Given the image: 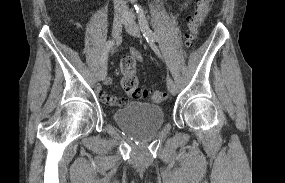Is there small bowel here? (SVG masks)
<instances>
[{
  "instance_id": "1",
  "label": "small bowel",
  "mask_w": 285,
  "mask_h": 183,
  "mask_svg": "<svg viewBox=\"0 0 285 183\" xmlns=\"http://www.w3.org/2000/svg\"><path fill=\"white\" fill-rule=\"evenodd\" d=\"M131 55H132V57H133L135 60H137L138 62H142V61H143V58H142L141 54H140L137 50H135V49H133V48H131ZM111 83H112V79L109 78V77L104 80V84H106V85H109V84H111ZM97 93H98V95H99L105 102H107V103H109V104H111V105H115L114 103H112V99L115 98V97L106 94V93L103 91V89H102L101 87H98V88H97ZM116 98H117V97H116ZM120 99L123 100V104L126 103V100H125V99H123V98H120ZM123 104H122V105H123Z\"/></svg>"
}]
</instances>
